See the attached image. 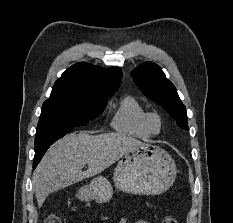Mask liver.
<instances>
[{
	"label": "liver",
	"instance_id": "6515ba94",
	"mask_svg": "<svg viewBox=\"0 0 233 223\" xmlns=\"http://www.w3.org/2000/svg\"><path fill=\"white\" fill-rule=\"evenodd\" d=\"M142 143L126 133H68L51 145L34 169L32 185L38 207L52 191L101 173ZM85 165L88 169L82 171Z\"/></svg>",
	"mask_w": 233,
	"mask_h": 223
}]
</instances>
